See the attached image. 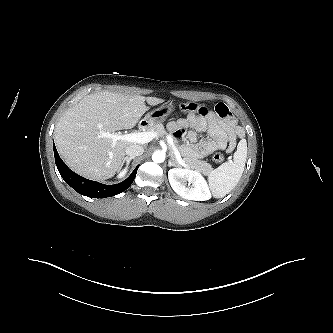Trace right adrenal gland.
Masks as SVG:
<instances>
[{
  "label": "right adrenal gland",
  "mask_w": 333,
  "mask_h": 333,
  "mask_svg": "<svg viewBox=\"0 0 333 333\" xmlns=\"http://www.w3.org/2000/svg\"><path fill=\"white\" fill-rule=\"evenodd\" d=\"M135 157H125L124 162H126V165L128 166L129 163L131 162L132 159H134Z\"/></svg>",
  "instance_id": "obj_1"
}]
</instances>
